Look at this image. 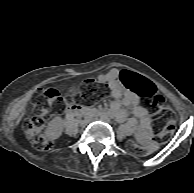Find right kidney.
<instances>
[{
  "label": "right kidney",
  "instance_id": "right-kidney-1",
  "mask_svg": "<svg viewBox=\"0 0 194 193\" xmlns=\"http://www.w3.org/2000/svg\"><path fill=\"white\" fill-rule=\"evenodd\" d=\"M49 134L52 139H57L62 134V126L58 119H54L49 128Z\"/></svg>",
  "mask_w": 194,
  "mask_h": 193
}]
</instances>
